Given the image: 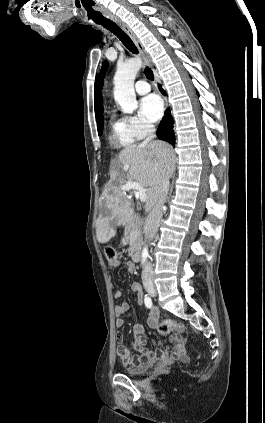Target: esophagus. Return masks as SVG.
<instances>
[{
  "instance_id": "esophagus-1",
  "label": "esophagus",
  "mask_w": 265,
  "mask_h": 423,
  "mask_svg": "<svg viewBox=\"0 0 265 423\" xmlns=\"http://www.w3.org/2000/svg\"><path fill=\"white\" fill-rule=\"evenodd\" d=\"M112 20L116 23V24H118L121 28H122V30L131 38V40L135 43V45H136V47H137V49L139 50V52L141 53V55L144 57V59H145V61H146V63L149 65V66H152V60H151V57H150V55L147 53V51L145 50V48H144V46H143V44H142V42L138 39V37L135 35V33L131 30V28L125 23V22H123L122 20H120L119 18H117V17H114V18H112ZM164 100H165V104L167 105V100H166V98L164 97Z\"/></svg>"
}]
</instances>
